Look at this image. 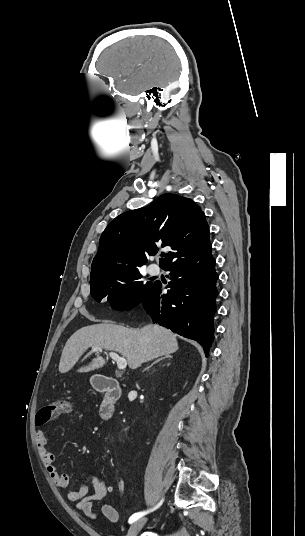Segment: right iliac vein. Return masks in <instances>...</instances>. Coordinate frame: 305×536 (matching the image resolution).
Here are the masks:
<instances>
[{"label":"right iliac vein","instance_id":"1","mask_svg":"<svg viewBox=\"0 0 305 536\" xmlns=\"http://www.w3.org/2000/svg\"><path fill=\"white\" fill-rule=\"evenodd\" d=\"M146 523L145 518H141L134 523L129 528L127 536H137L139 531L141 530L142 526Z\"/></svg>","mask_w":305,"mask_h":536}]
</instances>
